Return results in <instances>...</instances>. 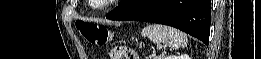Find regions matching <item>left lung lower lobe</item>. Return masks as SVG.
I'll return each mask as SVG.
<instances>
[{
    "label": "left lung lower lobe",
    "mask_w": 261,
    "mask_h": 59,
    "mask_svg": "<svg viewBox=\"0 0 261 59\" xmlns=\"http://www.w3.org/2000/svg\"><path fill=\"white\" fill-rule=\"evenodd\" d=\"M211 0H125L106 18L173 26L209 42Z\"/></svg>",
    "instance_id": "left-lung-lower-lobe-1"
}]
</instances>
